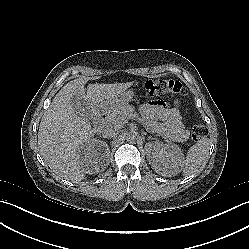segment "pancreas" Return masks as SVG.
Wrapping results in <instances>:
<instances>
[{
	"mask_svg": "<svg viewBox=\"0 0 249 249\" xmlns=\"http://www.w3.org/2000/svg\"><path fill=\"white\" fill-rule=\"evenodd\" d=\"M132 112H133V111H132V109H131L130 107H125L124 110H123V112L120 113L119 117L115 118L114 121L119 120V118H122V117L125 116V115L127 116V115L131 114ZM144 124H145L147 127H149L147 121L144 122Z\"/></svg>",
	"mask_w": 249,
	"mask_h": 249,
	"instance_id": "obj_1",
	"label": "pancreas"
}]
</instances>
